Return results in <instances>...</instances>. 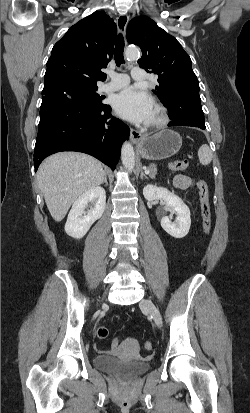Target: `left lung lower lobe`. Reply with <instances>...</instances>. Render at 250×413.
Masks as SVG:
<instances>
[{"mask_svg": "<svg viewBox=\"0 0 250 413\" xmlns=\"http://www.w3.org/2000/svg\"><path fill=\"white\" fill-rule=\"evenodd\" d=\"M199 94L188 98H176L170 105L168 126H193L205 129L204 114Z\"/></svg>", "mask_w": 250, "mask_h": 413, "instance_id": "0a47b994", "label": "left lung lower lobe"}]
</instances>
